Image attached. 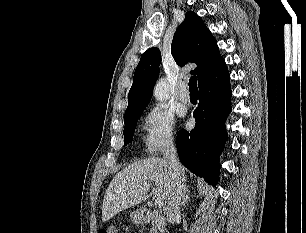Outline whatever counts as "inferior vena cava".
Listing matches in <instances>:
<instances>
[{
	"label": "inferior vena cava",
	"mask_w": 306,
	"mask_h": 233,
	"mask_svg": "<svg viewBox=\"0 0 306 233\" xmlns=\"http://www.w3.org/2000/svg\"><path fill=\"white\" fill-rule=\"evenodd\" d=\"M163 157L172 172L171 191L167 200L166 216L170 223H174L179 216L180 205L185 194V174L177 159L176 149L172 139L166 142Z\"/></svg>",
	"instance_id": "obj_1"
}]
</instances>
